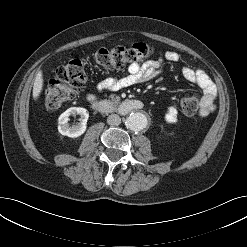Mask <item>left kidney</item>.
Listing matches in <instances>:
<instances>
[{"label":"left kidney","mask_w":247,"mask_h":247,"mask_svg":"<svg viewBox=\"0 0 247 247\" xmlns=\"http://www.w3.org/2000/svg\"><path fill=\"white\" fill-rule=\"evenodd\" d=\"M177 114H178V111L175 107H169L167 113L165 114V120L168 123H176Z\"/></svg>","instance_id":"1"}]
</instances>
